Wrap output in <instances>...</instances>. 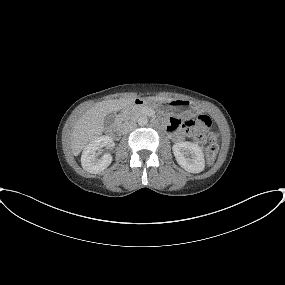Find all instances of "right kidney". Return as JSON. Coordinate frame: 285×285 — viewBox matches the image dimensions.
<instances>
[{
    "label": "right kidney",
    "instance_id": "right-kidney-1",
    "mask_svg": "<svg viewBox=\"0 0 285 285\" xmlns=\"http://www.w3.org/2000/svg\"><path fill=\"white\" fill-rule=\"evenodd\" d=\"M103 147H106L107 149H112L114 147L113 140L110 136H100L86 145L81 155V164L85 171L97 174L111 164L112 156L109 153L98 158L99 154L97 151Z\"/></svg>",
    "mask_w": 285,
    "mask_h": 285
}]
</instances>
